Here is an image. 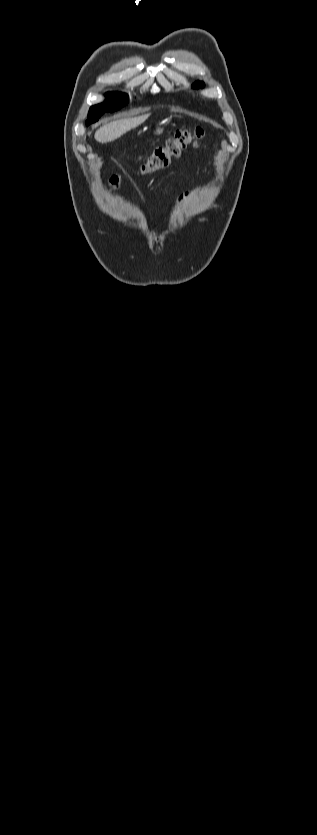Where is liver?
<instances>
[{"mask_svg":"<svg viewBox=\"0 0 317 835\" xmlns=\"http://www.w3.org/2000/svg\"><path fill=\"white\" fill-rule=\"evenodd\" d=\"M149 114L136 117L122 118L109 122L100 127L95 133V139L99 143H108L120 138L123 134L144 123Z\"/></svg>","mask_w":317,"mask_h":835,"instance_id":"6515ba94","label":"liver"}]
</instances>
